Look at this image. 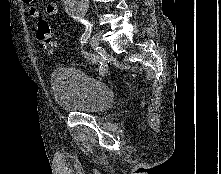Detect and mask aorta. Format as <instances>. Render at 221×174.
Returning <instances> with one entry per match:
<instances>
[{
    "label": "aorta",
    "instance_id": "aorta-1",
    "mask_svg": "<svg viewBox=\"0 0 221 174\" xmlns=\"http://www.w3.org/2000/svg\"><path fill=\"white\" fill-rule=\"evenodd\" d=\"M65 10L71 17L84 20L89 0H63Z\"/></svg>",
    "mask_w": 221,
    "mask_h": 174
}]
</instances>
